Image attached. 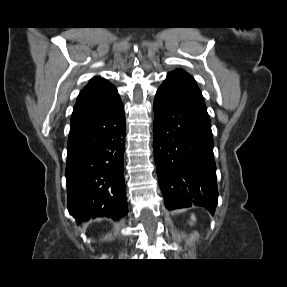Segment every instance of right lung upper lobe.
Returning <instances> with one entry per match:
<instances>
[{
	"label": "right lung upper lobe",
	"mask_w": 287,
	"mask_h": 287,
	"mask_svg": "<svg viewBox=\"0 0 287 287\" xmlns=\"http://www.w3.org/2000/svg\"><path fill=\"white\" fill-rule=\"evenodd\" d=\"M119 99L114 85L104 78L94 77L80 92L71 118L102 111L111 107Z\"/></svg>",
	"instance_id": "obj_1"
}]
</instances>
